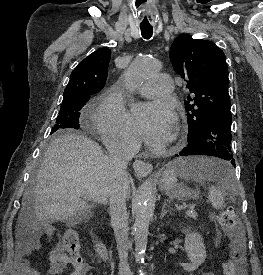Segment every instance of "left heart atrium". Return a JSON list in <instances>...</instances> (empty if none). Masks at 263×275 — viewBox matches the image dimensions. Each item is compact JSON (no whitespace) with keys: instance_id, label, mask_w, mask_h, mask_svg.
I'll list each match as a JSON object with an SVG mask.
<instances>
[{"instance_id":"39dd6f15","label":"left heart atrium","mask_w":263,"mask_h":275,"mask_svg":"<svg viewBox=\"0 0 263 275\" xmlns=\"http://www.w3.org/2000/svg\"><path fill=\"white\" fill-rule=\"evenodd\" d=\"M132 123L141 140L150 146H160L170 138L175 118L168 103L155 101L136 105Z\"/></svg>"}]
</instances>
